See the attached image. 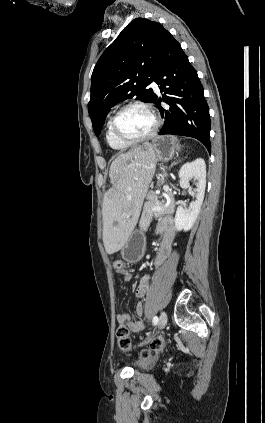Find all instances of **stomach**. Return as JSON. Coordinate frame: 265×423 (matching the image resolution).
Wrapping results in <instances>:
<instances>
[{
	"mask_svg": "<svg viewBox=\"0 0 265 423\" xmlns=\"http://www.w3.org/2000/svg\"><path fill=\"white\" fill-rule=\"evenodd\" d=\"M152 145L156 152V159L158 161L165 162L172 159L176 148L175 140L172 137L164 136L155 138ZM144 250V234L140 230H134L131 232L129 238L123 246L121 255L127 262L137 263L143 258Z\"/></svg>",
	"mask_w": 265,
	"mask_h": 423,
	"instance_id": "stomach-1",
	"label": "stomach"
}]
</instances>
